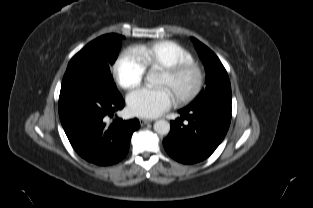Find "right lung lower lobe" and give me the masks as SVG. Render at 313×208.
<instances>
[{
    "label": "right lung lower lobe",
    "mask_w": 313,
    "mask_h": 208,
    "mask_svg": "<svg viewBox=\"0 0 313 208\" xmlns=\"http://www.w3.org/2000/svg\"><path fill=\"white\" fill-rule=\"evenodd\" d=\"M124 104L121 94H109L96 83L73 75L63 79L59 116L72 147L82 158L105 166L126 156L139 121L116 118L112 124H106V117L121 110Z\"/></svg>",
    "instance_id": "98d812e1"
}]
</instances>
